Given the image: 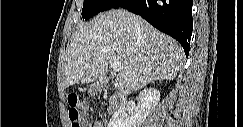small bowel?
I'll return each instance as SVG.
<instances>
[{
	"instance_id": "small-bowel-1",
	"label": "small bowel",
	"mask_w": 243,
	"mask_h": 127,
	"mask_svg": "<svg viewBox=\"0 0 243 127\" xmlns=\"http://www.w3.org/2000/svg\"><path fill=\"white\" fill-rule=\"evenodd\" d=\"M84 124H85L84 127H91V125L87 121H84ZM96 127H102V125L101 124H97Z\"/></svg>"
}]
</instances>
